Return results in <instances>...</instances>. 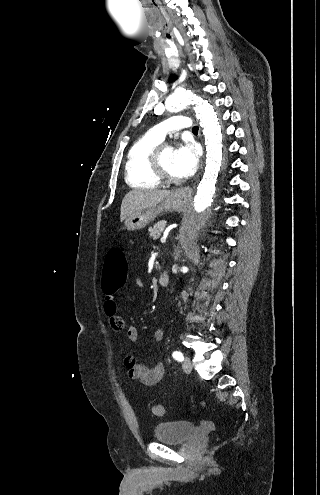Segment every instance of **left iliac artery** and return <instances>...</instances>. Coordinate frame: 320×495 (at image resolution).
Here are the masks:
<instances>
[{"label":"left iliac artery","mask_w":320,"mask_h":495,"mask_svg":"<svg viewBox=\"0 0 320 495\" xmlns=\"http://www.w3.org/2000/svg\"><path fill=\"white\" fill-rule=\"evenodd\" d=\"M172 356L174 359H176L179 362L183 361V359H184L183 354L180 351H174L172 353Z\"/></svg>","instance_id":"44dca946"}]
</instances>
